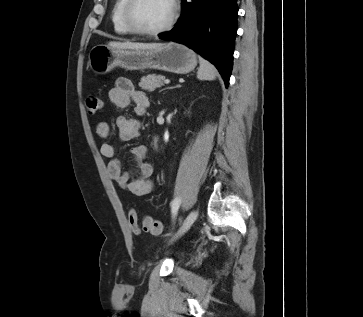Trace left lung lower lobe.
Segmentation results:
<instances>
[{
	"label": "left lung lower lobe",
	"instance_id": "obj_1",
	"mask_svg": "<svg viewBox=\"0 0 363 317\" xmlns=\"http://www.w3.org/2000/svg\"><path fill=\"white\" fill-rule=\"evenodd\" d=\"M175 27L159 38L185 44L219 70L226 87L232 70L237 31V0H182Z\"/></svg>",
	"mask_w": 363,
	"mask_h": 317
}]
</instances>
